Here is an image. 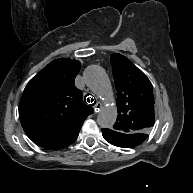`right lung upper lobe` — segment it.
Listing matches in <instances>:
<instances>
[{"instance_id": "obj_1", "label": "right lung upper lobe", "mask_w": 193, "mask_h": 193, "mask_svg": "<svg viewBox=\"0 0 193 193\" xmlns=\"http://www.w3.org/2000/svg\"><path fill=\"white\" fill-rule=\"evenodd\" d=\"M80 67L77 60L57 59L27 84L19 117L24 131L37 145L51 150L69 146L78 137L84 120L93 113L74 86Z\"/></svg>"}]
</instances>
